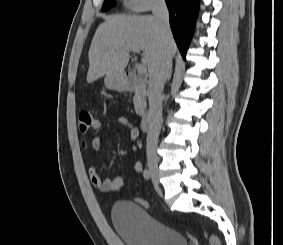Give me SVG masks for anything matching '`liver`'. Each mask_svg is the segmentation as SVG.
<instances>
[{
  "instance_id": "liver-1",
  "label": "liver",
  "mask_w": 283,
  "mask_h": 245,
  "mask_svg": "<svg viewBox=\"0 0 283 245\" xmlns=\"http://www.w3.org/2000/svg\"><path fill=\"white\" fill-rule=\"evenodd\" d=\"M167 47L173 57L177 51L173 37ZM165 49L159 25L153 16L112 15L97 28L88 52L87 82L107 74H123L130 52L142 51V62L149 75L159 63Z\"/></svg>"
}]
</instances>
